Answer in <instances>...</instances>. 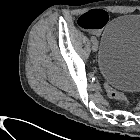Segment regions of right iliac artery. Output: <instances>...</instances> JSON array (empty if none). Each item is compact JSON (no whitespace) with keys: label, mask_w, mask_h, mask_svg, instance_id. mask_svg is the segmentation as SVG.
Masks as SVG:
<instances>
[{"label":"right iliac artery","mask_w":140,"mask_h":140,"mask_svg":"<svg viewBox=\"0 0 140 140\" xmlns=\"http://www.w3.org/2000/svg\"><path fill=\"white\" fill-rule=\"evenodd\" d=\"M91 40L94 41L95 40V37H92Z\"/></svg>","instance_id":"obj_1"}]
</instances>
